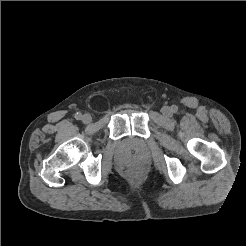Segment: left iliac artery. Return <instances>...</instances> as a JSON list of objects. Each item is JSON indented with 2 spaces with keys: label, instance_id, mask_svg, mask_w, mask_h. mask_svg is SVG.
Wrapping results in <instances>:
<instances>
[{
  "label": "left iliac artery",
  "instance_id": "1",
  "mask_svg": "<svg viewBox=\"0 0 246 246\" xmlns=\"http://www.w3.org/2000/svg\"><path fill=\"white\" fill-rule=\"evenodd\" d=\"M171 110H172L174 113H176V112H177V110H178V107H177V106H175V105H173Z\"/></svg>",
  "mask_w": 246,
  "mask_h": 246
}]
</instances>
